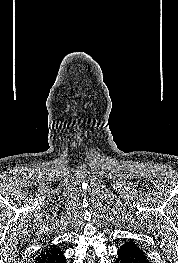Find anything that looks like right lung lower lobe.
<instances>
[{"instance_id": "1", "label": "right lung lower lobe", "mask_w": 178, "mask_h": 263, "mask_svg": "<svg viewBox=\"0 0 178 263\" xmlns=\"http://www.w3.org/2000/svg\"><path fill=\"white\" fill-rule=\"evenodd\" d=\"M66 259L63 256V252L59 250L58 252L52 254L51 256L39 261V263H65Z\"/></svg>"}]
</instances>
